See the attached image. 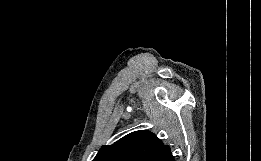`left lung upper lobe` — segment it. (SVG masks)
I'll use <instances>...</instances> for the list:
<instances>
[{
	"label": "left lung upper lobe",
	"instance_id": "1",
	"mask_svg": "<svg viewBox=\"0 0 261 161\" xmlns=\"http://www.w3.org/2000/svg\"><path fill=\"white\" fill-rule=\"evenodd\" d=\"M167 148L153 133L135 131L112 145H103L93 161H154Z\"/></svg>",
	"mask_w": 261,
	"mask_h": 161
}]
</instances>
